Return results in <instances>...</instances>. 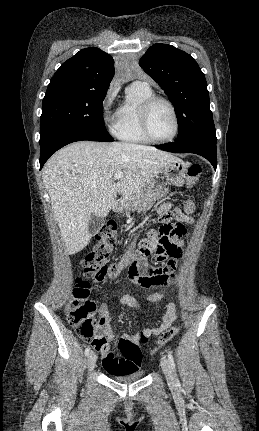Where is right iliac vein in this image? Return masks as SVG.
<instances>
[{
	"mask_svg": "<svg viewBox=\"0 0 259 431\" xmlns=\"http://www.w3.org/2000/svg\"><path fill=\"white\" fill-rule=\"evenodd\" d=\"M96 359H97L96 355L93 352L90 353V355L88 356V360H87V366H88L89 371H92L95 368Z\"/></svg>",
	"mask_w": 259,
	"mask_h": 431,
	"instance_id": "right-iliac-vein-1",
	"label": "right iliac vein"
}]
</instances>
